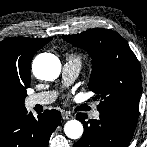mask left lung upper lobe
<instances>
[{
  "mask_svg": "<svg viewBox=\"0 0 147 147\" xmlns=\"http://www.w3.org/2000/svg\"><path fill=\"white\" fill-rule=\"evenodd\" d=\"M63 38L87 50L92 58L89 89L101 99L100 113L113 115L132 127L138 120L141 93L139 62L127 42L110 29H90Z\"/></svg>",
  "mask_w": 147,
  "mask_h": 147,
  "instance_id": "left-lung-upper-lobe-1",
  "label": "left lung upper lobe"
}]
</instances>
